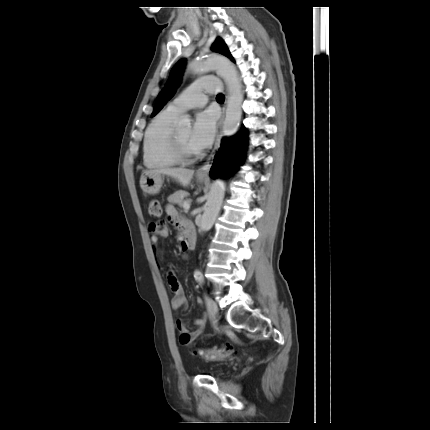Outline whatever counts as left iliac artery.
Segmentation results:
<instances>
[{
  "label": "left iliac artery",
  "instance_id": "obj_1",
  "mask_svg": "<svg viewBox=\"0 0 430 430\" xmlns=\"http://www.w3.org/2000/svg\"><path fill=\"white\" fill-rule=\"evenodd\" d=\"M194 277H195V279L198 281V282H200V283H202L203 282V280H204V278H203V274L201 273V271H199V270H196L195 272H194Z\"/></svg>",
  "mask_w": 430,
  "mask_h": 430
}]
</instances>
